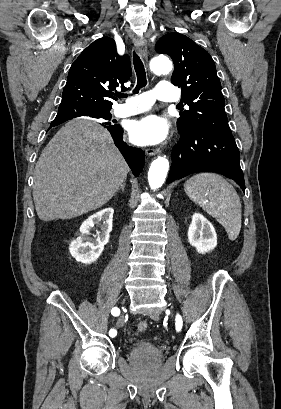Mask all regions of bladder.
Returning <instances> with one entry per match:
<instances>
[{"label":"bladder","mask_w":281,"mask_h":409,"mask_svg":"<svg viewBox=\"0 0 281 409\" xmlns=\"http://www.w3.org/2000/svg\"><path fill=\"white\" fill-rule=\"evenodd\" d=\"M130 351L133 355H161L158 344L148 338H138L131 345Z\"/></svg>","instance_id":"1"}]
</instances>
